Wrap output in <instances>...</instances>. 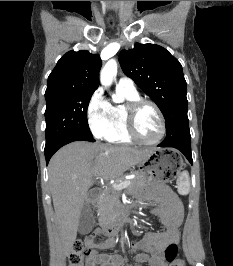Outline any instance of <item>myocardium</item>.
<instances>
[{
  "label": "myocardium",
  "instance_id": "f54148a6",
  "mask_svg": "<svg viewBox=\"0 0 233 266\" xmlns=\"http://www.w3.org/2000/svg\"><path fill=\"white\" fill-rule=\"evenodd\" d=\"M145 105H149L153 107L160 120V126H161L160 133L158 137L152 141H147V140L142 139L138 135L137 130H136L137 113L140 110V108ZM124 112H125L127 132L132 141L142 144V145L152 146V145L159 144L163 140L165 133H166V121H165V118H164V115L161 109L155 102L148 100V99H144V98H137L134 100H130L125 104Z\"/></svg>",
  "mask_w": 233,
  "mask_h": 266
}]
</instances>
